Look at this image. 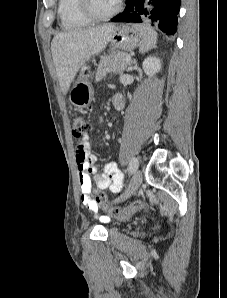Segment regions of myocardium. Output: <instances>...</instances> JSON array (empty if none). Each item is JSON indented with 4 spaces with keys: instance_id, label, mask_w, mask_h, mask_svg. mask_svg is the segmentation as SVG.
<instances>
[{
    "instance_id": "f54148a6",
    "label": "myocardium",
    "mask_w": 227,
    "mask_h": 298,
    "mask_svg": "<svg viewBox=\"0 0 227 298\" xmlns=\"http://www.w3.org/2000/svg\"><path fill=\"white\" fill-rule=\"evenodd\" d=\"M80 1V9L82 13L84 14L85 17H87L91 22H102V21H107L114 16H116L121 8H122V0H118L116 6L112 11H110L107 14L104 15H99L94 12L92 5H91V0H79Z\"/></svg>"
}]
</instances>
